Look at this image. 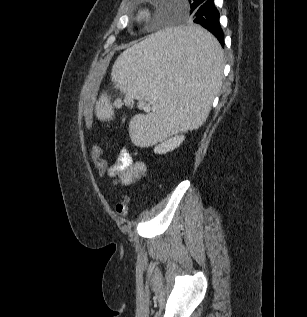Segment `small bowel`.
Wrapping results in <instances>:
<instances>
[{
  "instance_id": "c3829d8e",
  "label": "small bowel",
  "mask_w": 307,
  "mask_h": 317,
  "mask_svg": "<svg viewBox=\"0 0 307 317\" xmlns=\"http://www.w3.org/2000/svg\"><path fill=\"white\" fill-rule=\"evenodd\" d=\"M146 170L144 162L134 161L129 151L123 148L106 174L114 184L128 187L139 181Z\"/></svg>"
}]
</instances>
